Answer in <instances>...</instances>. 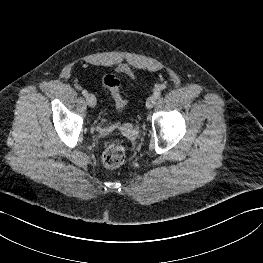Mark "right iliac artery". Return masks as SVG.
<instances>
[{
  "label": "right iliac artery",
  "instance_id": "obj_1",
  "mask_svg": "<svg viewBox=\"0 0 263 263\" xmlns=\"http://www.w3.org/2000/svg\"><path fill=\"white\" fill-rule=\"evenodd\" d=\"M82 94H83V96H87V95H88V92H87L86 90H83V91H82Z\"/></svg>",
  "mask_w": 263,
  "mask_h": 263
}]
</instances>
